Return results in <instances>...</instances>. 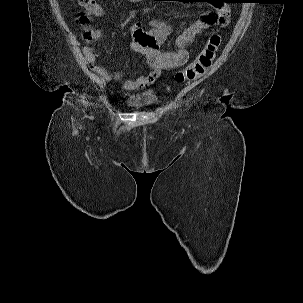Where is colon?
Wrapping results in <instances>:
<instances>
[{"label":"colon","instance_id":"5ec220e1","mask_svg":"<svg viewBox=\"0 0 303 303\" xmlns=\"http://www.w3.org/2000/svg\"><path fill=\"white\" fill-rule=\"evenodd\" d=\"M78 2L82 6H89L94 0H78ZM88 20L89 18L85 14H80L78 17V23L80 25H86ZM84 37L86 40L90 41L95 37V33L91 29H86ZM145 41L150 42L151 40L145 39ZM220 43L221 35L217 31H214L197 58L176 74V80L178 82L195 81L204 76L216 56Z\"/></svg>","mask_w":303,"mask_h":303}]
</instances>
